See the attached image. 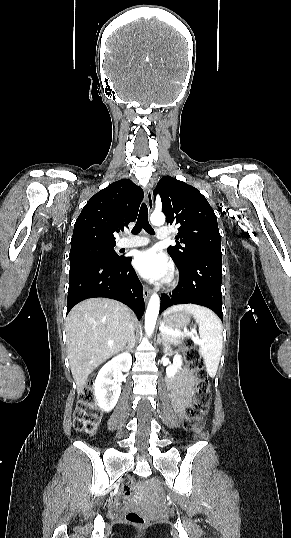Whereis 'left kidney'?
<instances>
[{
  "instance_id": "left-kidney-1",
  "label": "left kidney",
  "mask_w": 291,
  "mask_h": 538,
  "mask_svg": "<svg viewBox=\"0 0 291 538\" xmlns=\"http://www.w3.org/2000/svg\"><path fill=\"white\" fill-rule=\"evenodd\" d=\"M167 348L168 347H166L165 351H167ZM181 365H182V357L181 355L177 353L173 358V364L166 368L167 377L169 378L174 377V375L179 371V369H181Z\"/></svg>"
}]
</instances>
